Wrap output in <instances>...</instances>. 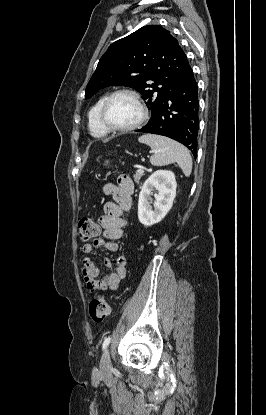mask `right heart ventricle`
<instances>
[{
	"label": "right heart ventricle",
	"instance_id": "obj_1",
	"mask_svg": "<svg viewBox=\"0 0 266 415\" xmlns=\"http://www.w3.org/2000/svg\"><path fill=\"white\" fill-rule=\"evenodd\" d=\"M107 94L101 95L91 106L88 112V129L90 134L96 138L105 137L109 131L104 128L100 121V110Z\"/></svg>",
	"mask_w": 266,
	"mask_h": 415
}]
</instances>
